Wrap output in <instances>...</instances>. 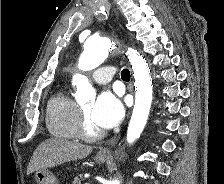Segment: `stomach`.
I'll use <instances>...</instances> for the list:
<instances>
[{
  "label": "stomach",
  "instance_id": "obj_1",
  "mask_svg": "<svg viewBox=\"0 0 224 184\" xmlns=\"http://www.w3.org/2000/svg\"><path fill=\"white\" fill-rule=\"evenodd\" d=\"M108 160V157H95V162L102 164ZM37 184H59L58 179L47 168L39 169L35 172Z\"/></svg>",
  "mask_w": 224,
  "mask_h": 184
}]
</instances>
